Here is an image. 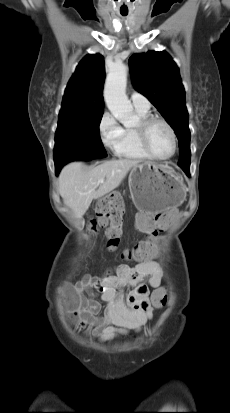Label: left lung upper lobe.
Wrapping results in <instances>:
<instances>
[{"instance_id": "5c2ea615", "label": "left lung upper lobe", "mask_w": 230, "mask_h": 413, "mask_svg": "<svg viewBox=\"0 0 230 413\" xmlns=\"http://www.w3.org/2000/svg\"><path fill=\"white\" fill-rule=\"evenodd\" d=\"M132 83L158 109L175 131L180 149L179 167L190 168L189 115L179 69L165 52L149 51L129 59Z\"/></svg>"}]
</instances>
